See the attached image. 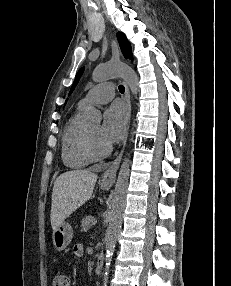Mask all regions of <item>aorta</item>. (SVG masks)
<instances>
[{"label":"aorta","mask_w":231,"mask_h":286,"mask_svg":"<svg viewBox=\"0 0 231 286\" xmlns=\"http://www.w3.org/2000/svg\"><path fill=\"white\" fill-rule=\"evenodd\" d=\"M121 77L128 85L131 93L137 95L138 88V76L136 72L128 65L122 63H106L95 68L93 71V80L101 82L109 78ZM84 119L89 124H99L101 121V113L95 108H90L85 113ZM130 160L125 157L120 171L118 173L115 190L113 193L110 223L106 232L105 244V273L103 278L104 286H106L108 280V272L112 261V255L115 250L117 241V235L121 229L123 222V215L126 205V195L129 181Z\"/></svg>","instance_id":"obj_1"}]
</instances>
